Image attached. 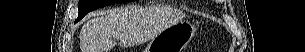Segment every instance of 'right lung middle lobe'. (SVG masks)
I'll return each instance as SVG.
<instances>
[{
    "instance_id": "right-lung-middle-lobe-1",
    "label": "right lung middle lobe",
    "mask_w": 305,
    "mask_h": 52,
    "mask_svg": "<svg viewBox=\"0 0 305 52\" xmlns=\"http://www.w3.org/2000/svg\"><path fill=\"white\" fill-rule=\"evenodd\" d=\"M133 0H79V16L78 20L83 18L87 13L97 8L113 4V3H126Z\"/></svg>"
}]
</instances>
